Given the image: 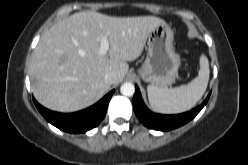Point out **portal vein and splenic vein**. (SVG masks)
<instances>
[{"instance_id":"18ae733b","label":"portal vein and splenic vein","mask_w":248,"mask_h":165,"mask_svg":"<svg viewBox=\"0 0 248 165\" xmlns=\"http://www.w3.org/2000/svg\"><path fill=\"white\" fill-rule=\"evenodd\" d=\"M109 50V42L106 36L100 38V49L99 53L105 55Z\"/></svg>"}]
</instances>
